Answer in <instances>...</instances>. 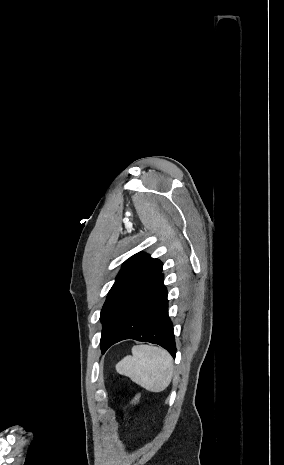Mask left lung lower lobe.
<instances>
[{
  "label": "left lung lower lobe",
  "instance_id": "obj_1",
  "mask_svg": "<svg viewBox=\"0 0 284 465\" xmlns=\"http://www.w3.org/2000/svg\"><path fill=\"white\" fill-rule=\"evenodd\" d=\"M161 273L121 310L101 346L102 353L113 344L135 339L158 344L175 358L173 325L168 316L167 290Z\"/></svg>",
  "mask_w": 284,
  "mask_h": 465
}]
</instances>
